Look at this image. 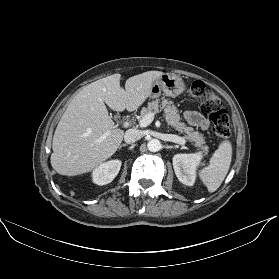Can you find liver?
Masks as SVG:
<instances>
[{
  "label": "liver",
  "mask_w": 279,
  "mask_h": 279,
  "mask_svg": "<svg viewBox=\"0 0 279 279\" xmlns=\"http://www.w3.org/2000/svg\"><path fill=\"white\" fill-rule=\"evenodd\" d=\"M162 74L148 71L130 77L125 90L117 73L85 86L72 99L55 130L53 169L61 175L76 176L110 158L120 146L124 131L114 126L106 105L115 111L137 110L150 97L153 84Z\"/></svg>",
  "instance_id": "liver-1"
}]
</instances>
